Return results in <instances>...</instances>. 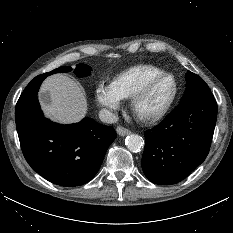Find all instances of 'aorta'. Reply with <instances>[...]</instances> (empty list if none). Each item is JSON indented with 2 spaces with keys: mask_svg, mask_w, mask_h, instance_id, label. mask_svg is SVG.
Returning <instances> with one entry per match:
<instances>
[{
  "mask_svg": "<svg viewBox=\"0 0 233 233\" xmlns=\"http://www.w3.org/2000/svg\"><path fill=\"white\" fill-rule=\"evenodd\" d=\"M127 148L132 152H139L144 146V140L137 134H130L125 139Z\"/></svg>",
  "mask_w": 233,
  "mask_h": 233,
  "instance_id": "1",
  "label": "aorta"
}]
</instances>
